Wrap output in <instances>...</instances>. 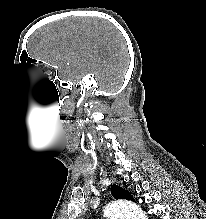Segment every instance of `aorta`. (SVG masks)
Instances as JSON below:
<instances>
[{
	"mask_svg": "<svg viewBox=\"0 0 206 219\" xmlns=\"http://www.w3.org/2000/svg\"><path fill=\"white\" fill-rule=\"evenodd\" d=\"M108 219H147L142 209L136 204L126 200H115L104 209Z\"/></svg>",
	"mask_w": 206,
	"mask_h": 219,
	"instance_id": "762f6f07",
	"label": "aorta"
}]
</instances>
